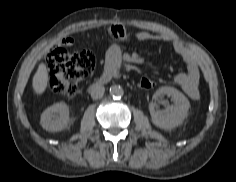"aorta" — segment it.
<instances>
[{
	"label": "aorta",
	"mask_w": 236,
	"mask_h": 182,
	"mask_svg": "<svg viewBox=\"0 0 236 182\" xmlns=\"http://www.w3.org/2000/svg\"><path fill=\"white\" fill-rule=\"evenodd\" d=\"M110 95L113 98H121L124 95V91L121 86L113 85L109 89Z\"/></svg>",
	"instance_id": "obj_1"
}]
</instances>
